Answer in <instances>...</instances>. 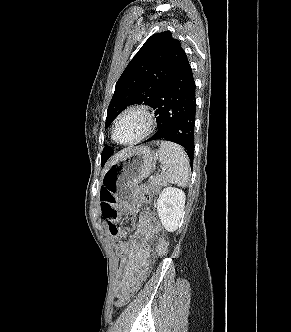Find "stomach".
Masks as SVG:
<instances>
[{
  "mask_svg": "<svg viewBox=\"0 0 291 332\" xmlns=\"http://www.w3.org/2000/svg\"><path fill=\"white\" fill-rule=\"evenodd\" d=\"M154 161L155 155L149 148L131 149L106 170L103 188L127 209H136L139 205L138 183L150 175Z\"/></svg>",
  "mask_w": 291,
  "mask_h": 332,
  "instance_id": "0dacf381",
  "label": "stomach"
}]
</instances>
